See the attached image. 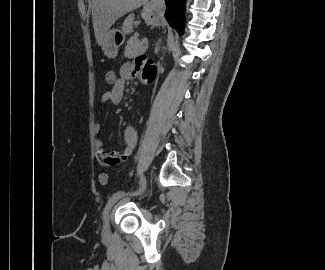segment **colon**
Returning <instances> with one entry per match:
<instances>
[{
	"mask_svg": "<svg viewBox=\"0 0 325 270\" xmlns=\"http://www.w3.org/2000/svg\"><path fill=\"white\" fill-rule=\"evenodd\" d=\"M119 77L118 73L113 70L109 69L105 73V84L109 87H114L118 83ZM109 181V176L106 173H102L99 176V182L101 185H106Z\"/></svg>",
	"mask_w": 325,
	"mask_h": 270,
	"instance_id": "1",
	"label": "colon"
}]
</instances>
